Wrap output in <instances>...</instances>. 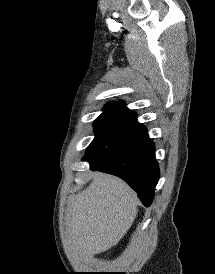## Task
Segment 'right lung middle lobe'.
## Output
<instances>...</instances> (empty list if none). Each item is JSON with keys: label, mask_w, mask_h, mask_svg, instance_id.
I'll return each instance as SVG.
<instances>
[{"label": "right lung middle lobe", "mask_w": 215, "mask_h": 274, "mask_svg": "<svg viewBox=\"0 0 215 274\" xmlns=\"http://www.w3.org/2000/svg\"><path fill=\"white\" fill-rule=\"evenodd\" d=\"M95 138L89 145L84 159H94L110 164L123 155L146 133L137 121L136 113L117 104H107L95 120Z\"/></svg>", "instance_id": "dd1d6c3e"}]
</instances>
